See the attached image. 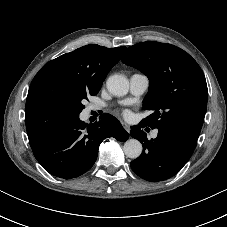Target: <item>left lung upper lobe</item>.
Returning <instances> with one entry per match:
<instances>
[{
	"label": "left lung upper lobe",
	"mask_w": 227,
	"mask_h": 227,
	"mask_svg": "<svg viewBox=\"0 0 227 227\" xmlns=\"http://www.w3.org/2000/svg\"><path fill=\"white\" fill-rule=\"evenodd\" d=\"M122 61L149 78L143 108L153 113L141 123L152 129L172 128L198 139L208 89L197 62L176 46L152 41L129 47Z\"/></svg>",
	"instance_id": "obj_1"
}]
</instances>
